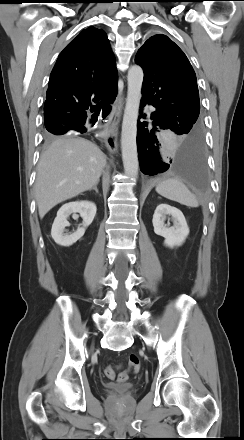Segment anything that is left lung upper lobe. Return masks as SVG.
I'll return each mask as SVG.
<instances>
[{"label": "left lung upper lobe", "instance_id": "left-lung-upper-lobe-1", "mask_svg": "<svg viewBox=\"0 0 244 440\" xmlns=\"http://www.w3.org/2000/svg\"><path fill=\"white\" fill-rule=\"evenodd\" d=\"M135 62L144 71L142 100L154 106L176 134H200L196 75L183 51L158 34L139 49Z\"/></svg>", "mask_w": 244, "mask_h": 440}]
</instances>
